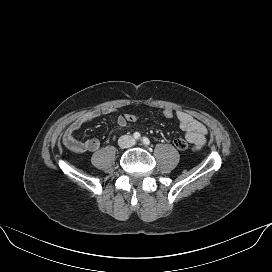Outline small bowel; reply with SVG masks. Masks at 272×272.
<instances>
[{
    "label": "small bowel",
    "mask_w": 272,
    "mask_h": 272,
    "mask_svg": "<svg viewBox=\"0 0 272 272\" xmlns=\"http://www.w3.org/2000/svg\"><path fill=\"white\" fill-rule=\"evenodd\" d=\"M101 114L114 115L116 118V124L119 127H125L127 125L125 117L116 110L106 108L103 110L89 111L78 116L69 124L63 135L64 144L70 149L78 152L97 151L100 147V141L98 139L90 138L85 141H79L75 138L74 134L83 125L98 118ZM174 114L179 123L180 129L184 132L185 140L190 143L195 150L201 149L206 143V126L184 110H176Z\"/></svg>",
    "instance_id": "small-bowel-1"
}]
</instances>
